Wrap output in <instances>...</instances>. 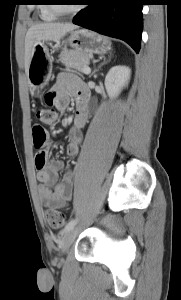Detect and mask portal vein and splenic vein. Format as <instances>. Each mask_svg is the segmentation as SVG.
Segmentation results:
<instances>
[{"label":"portal vein and splenic vein","instance_id":"18ae733b","mask_svg":"<svg viewBox=\"0 0 181 300\" xmlns=\"http://www.w3.org/2000/svg\"><path fill=\"white\" fill-rule=\"evenodd\" d=\"M91 72V69L89 67H84L83 68V73L89 74Z\"/></svg>","mask_w":181,"mask_h":300}]
</instances>
